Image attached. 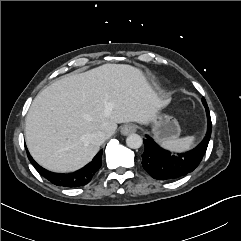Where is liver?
I'll use <instances>...</instances> for the list:
<instances>
[{
  "instance_id": "1",
  "label": "liver",
  "mask_w": 241,
  "mask_h": 241,
  "mask_svg": "<svg viewBox=\"0 0 241 241\" xmlns=\"http://www.w3.org/2000/svg\"><path fill=\"white\" fill-rule=\"evenodd\" d=\"M163 105L140 69L105 64L61 77L36 96L26 116V144L45 169L73 172L99 151L91 133L109 138L118 123L147 125Z\"/></svg>"
}]
</instances>
